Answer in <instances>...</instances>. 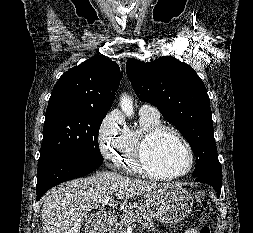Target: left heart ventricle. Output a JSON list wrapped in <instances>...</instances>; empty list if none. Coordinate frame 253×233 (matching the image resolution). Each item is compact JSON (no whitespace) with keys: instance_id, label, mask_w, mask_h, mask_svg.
Segmentation results:
<instances>
[{"instance_id":"obj_1","label":"left heart ventricle","mask_w":253,"mask_h":233,"mask_svg":"<svg viewBox=\"0 0 253 233\" xmlns=\"http://www.w3.org/2000/svg\"><path fill=\"white\" fill-rule=\"evenodd\" d=\"M189 162L185 146L169 134L159 136L149 147L147 163L158 174H177L183 172Z\"/></svg>"}]
</instances>
